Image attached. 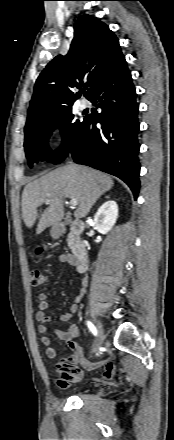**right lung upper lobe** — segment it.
<instances>
[{
	"mask_svg": "<svg viewBox=\"0 0 174 440\" xmlns=\"http://www.w3.org/2000/svg\"><path fill=\"white\" fill-rule=\"evenodd\" d=\"M125 61L119 41L108 26L91 15L75 23L66 56L55 57L36 80L25 131L71 108L79 96L72 89L83 81L89 98L103 79Z\"/></svg>",
	"mask_w": 174,
	"mask_h": 440,
	"instance_id": "1",
	"label": "right lung upper lobe"
}]
</instances>
